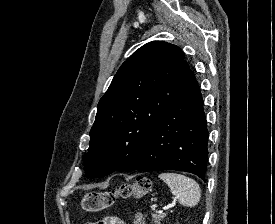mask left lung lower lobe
<instances>
[{
  "instance_id": "0a47b994",
  "label": "left lung lower lobe",
  "mask_w": 275,
  "mask_h": 224,
  "mask_svg": "<svg viewBox=\"0 0 275 224\" xmlns=\"http://www.w3.org/2000/svg\"><path fill=\"white\" fill-rule=\"evenodd\" d=\"M207 147L203 100L194 78L155 124L127 171H185L205 181Z\"/></svg>"
}]
</instances>
